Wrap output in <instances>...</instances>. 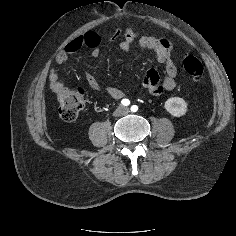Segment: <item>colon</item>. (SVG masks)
Returning a JSON list of instances; mask_svg holds the SVG:
<instances>
[{
    "mask_svg": "<svg viewBox=\"0 0 236 236\" xmlns=\"http://www.w3.org/2000/svg\"><path fill=\"white\" fill-rule=\"evenodd\" d=\"M183 70L191 78L199 79L203 75L204 66L198 58L188 56L183 61ZM57 98L59 102V115L64 121L75 120L84 110L85 97L78 90L61 87L57 91Z\"/></svg>",
    "mask_w": 236,
    "mask_h": 236,
    "instance_id": "obj_1",
    "label": "colon"
}]
</instances>
